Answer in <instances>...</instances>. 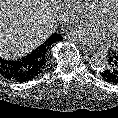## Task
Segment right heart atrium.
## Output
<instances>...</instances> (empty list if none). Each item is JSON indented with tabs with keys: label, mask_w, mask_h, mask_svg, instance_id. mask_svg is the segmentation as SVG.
<instances>
[{
	"label": "right heart atrium",
	"mask_w": 118,
	"mask_h": 118,
	"mask_svg": "<svg viewBox=\"0 0 118 118\" xmlns=\"http://www.w3.org/2000/svg\"><path fill=\"white\" fill-rule=\"evenodd\" d=\"M84 0H64L61 21L66 27H71L84 18Z\"/></svg>",
	"instance_id": "1"
}]
</instances>
